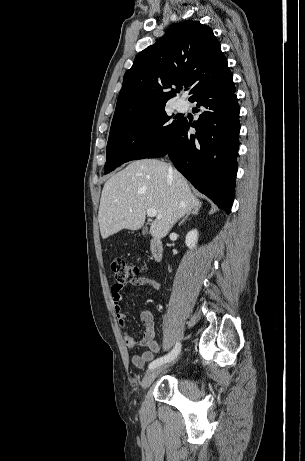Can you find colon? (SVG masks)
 Here are the masks:
<instances>
[{
  "instance_id": "colon-1",
  "label": "colon",
  "mask_w": 305,
  "mask_h": 461,
  "mask_svg": "<svg viewBox=\"0 0 305 461\" xmlns=\"http://www.w3.org/2000/svg\"><path fill=\"white\" fill-rule=\"evenodd\" d=\"M111 269L119 282H126L136 278L141 270L139 266L131 264L123 258H113L111 260Z\"/></svg>"
}]
</instances>
